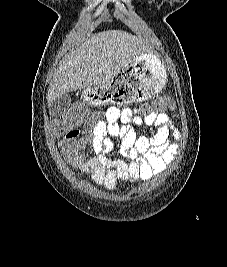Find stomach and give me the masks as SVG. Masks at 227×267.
Segmentation results:
<instances>
[{
    "instance_id": "1",
    "label": "stomach",
    "mask_w": 227,
    "mask_h": 267,
    "mask_svg": "<svg viewBox=\"0 0 227 267\" xmlns=\"http://www.w3.org/2000/svg\"><path fill=\"white\" fill-rule=\"evenodd\" d=\"M167 73L160 59L142 53L127 63L105 87L87 88L84 102L95 106H128L159 93L166 83Z\"/></svg>"
}]
</instances>
